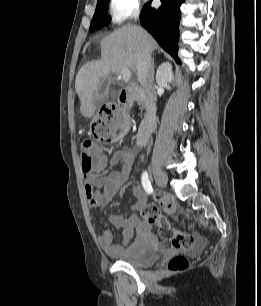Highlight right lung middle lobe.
Listing matches in <instances>:
<instances>
[{"label":"right lung middle lobe","mask_w":261,"mask_h":306,"mask_svg":"<svg viewBox=\"0 0 261 306\" xmlns=\"http://www.w3.org/2000/svg\"><path fill=\"white\" fill-rule=\"evenodd\" d=\"M109 1L110 0L97 1L96 11L91 21L89 31L100 29L111 21V17L107 16Z\"/></svg>","instance_id":"right-lung-middle-lobe-1"}]
</instances>
